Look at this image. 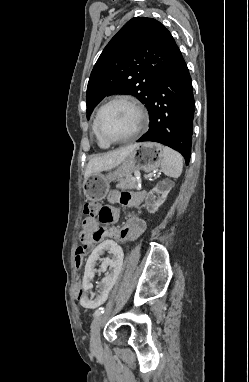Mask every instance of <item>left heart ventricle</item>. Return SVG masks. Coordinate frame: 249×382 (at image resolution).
<instances>
[{
  "label": "left heart ventricle",
  "instance_id": "obj_1",
  "mask_svg": "<svg viewBox=\"0 0 249 382\" xmlns=\"http://www.w3.org/2000/svg\"><path fill=\"white\" fill-rule=\"evenodd\" d=\"M138 116L128 104L114 103L104 109L100 119L103 134L109 138H122L133 133Z\"/></svg>",
  "mask_w": 249,
  "mask_h": 382
}]
</instances>
